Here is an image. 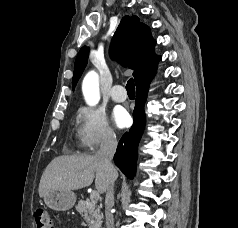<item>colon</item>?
Segmentation results:
<instances>
[{
  "label": "colon",
  "instance_id": "obj_1",
  "mask_svg": "<svg viewBox=\"0 0 238 228\" xmlns=\"http://www.w3.org/2000/svg\"><path fill=\"white\" fill-rule=\"evenodd\" d=\"M34 217L37 228H54L53 220L46 209H36Z\"/></svg>",
  "mask_w": 238,
  "mask_h": 228
}]
</instances>
